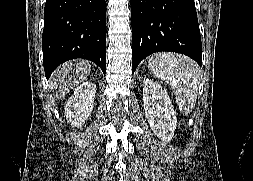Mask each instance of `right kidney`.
Wrapping results in <instances>:
<instances>
[{"instance_id":"ca27d5eb","label":"right kidney","mask_w":253,"mask_h":181,"mask_svg":"<svg viewBox=\"0 0 253 181\" xmlns=\"http://www.w3.org/2000/svg\"><path fill=\"white\" fill-rule=\"evenodd\" d=\"M96 85L92 82H84L74 91L65 106V115L71 125L78 128L88 119L93 107Z\"/></svg>"}]
</instances>
